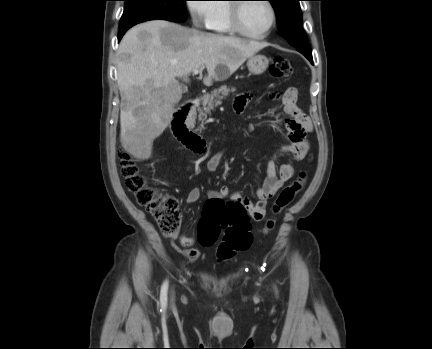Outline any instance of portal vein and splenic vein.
Returning <instances> with one entry per match:
<instances>
[{
	"instance_id": "18ae733b",
	"label": "portal vein and splenic vein",
	"mask_w": 432,
	"mask_h": 349,
	"mask_svg": "<svg viewBox=\"0 0 432 349\" xmlns=\"http://www.w3.org/2000/svg\"><path fill=\"white\" fill-rule=\"evenodd\" d=\"M200 72H201V69H195V70H193V73H194L195 75L199 74Z\"/></svg>"
}]
</instances>
